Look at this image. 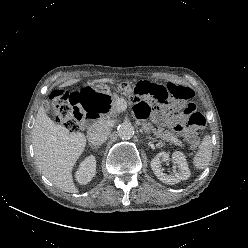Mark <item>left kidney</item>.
<instances>
[{"instance_id": "1", "label": "left kidney", "mask_w": 248, "mask_h": 248, "mask_svg": "<svg viewBox=\"0 0 248 248\" xmlns=\"http://www.w3.org/2000/svg\"><path fill=\"white\" fill-rule=\"evenodd\" d=\"M169 160V155L166 152L158 153L151 160V168L157 178L163 183L174 185L179 183L181 180H187L190 177V170L186 161L185 155L176 151L172 154V161L177 164L178 171H175L173 174H166L162 169V162H167Z\"/></svg>"}]
</instances>
